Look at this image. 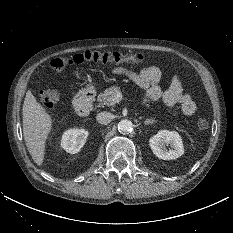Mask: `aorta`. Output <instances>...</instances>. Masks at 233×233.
<instances>
[{"label":"aorta","mask_w":233,"mask_h":233,"mask_svg":"<svg viewBox=\"0 0 233 233\" xmlns=\"http://www.w3.org/2000/svg\"><path fill=\"white\" fill-rule=\"evenodd\" d=\"M133 129V123L130 120L124 119L118 123V131L123 134L130 133Z\"/></svg>","instance_id":"aorta-1"}]
</instances>
